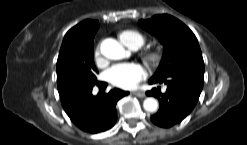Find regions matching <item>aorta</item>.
Returning <instances> with one entry per match:
<instances>
[{
  "instance_id": "762f6f07",
  "label": "aorta",
  "mask_w": 247,
  "mask_h": 145,
  "mask_svg": "<svg viewBox=\"0 0 247 145\" xmlns=\"http://www.w3.org/2000/svg\"><path fill=\"white\" fill-rule=\"evenodd\" d=\"M101 53L109 59L121 60L126 57L127 51L115 39L107 38L101 43ZM143 107L147 112H155L158 109V101L153 97H148L143 102Z\"/></svg>"
}]
</instances>
